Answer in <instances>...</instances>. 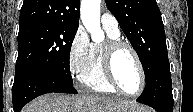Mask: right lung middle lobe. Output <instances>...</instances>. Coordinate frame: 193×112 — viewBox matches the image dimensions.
<instances>
[{
    "instance_id": "right-lung-middle-lobe-1",
    "label": "right lung middle lobe",
    "mask_w": 193,
    "mask_h": 112,
    "mask_svg": "<svg viewBox=\"0 0 193 112\" xmlns=\"http://www.w3.org/2000/svg\"><path fill=\"white\" fill-rule=\"evenodd\" d=\"M78 26L37 24L19 30L15 78L45 71L73 84L69 55Z\"/></svg>"
}]
</instances>
